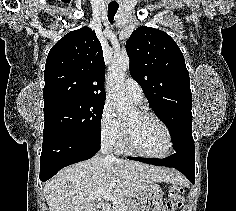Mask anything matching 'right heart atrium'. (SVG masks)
Segmentation results:
<instances>
[{
  "mask_svg": "<svg viewBox=\"0 0 236 211\" xmlns=\"http://www.w3.org/2000/svg\"><path fill=\"white\" fill-rule=\"evenodd\" d=\"M101 141L109 147H117L122 140L124 127L122 121L116 116L113 107L105 103L99 121Z\"/></svg>",
  "mask_w": 236,
  "mask_h": 211,
  "instance_id": "right-heart-atrium-1",
  "label": "right heart atrium"
}]
</instances>
